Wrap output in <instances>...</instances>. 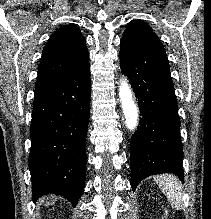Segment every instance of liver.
<instances>
[{"label": "liver", "instance_id": "6515ba94", "mask_svg": "<svg viewBox=\"0 0 211 219\" xmlns=\"http://www.w3.org/2000/svg\"><path fill=\"white\" fill-rule=\"evenodd\" d=\"M55 201H56V198H54L53 200H51V203H52V202H55ZM49 204H50V201L46 203V206H48Z\"/></svg>", "mask_w": 211, "mask_h": 219}]
</instances>
